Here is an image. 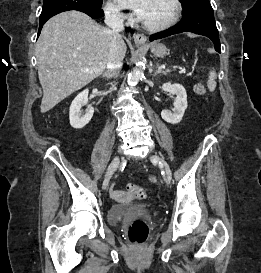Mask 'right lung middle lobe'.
Wrapping results in <instances>:
<instances>
[{
	"mask_svg": "<svg viewBox=\"0 0 261 273\" xmlns=\"http://www.w3.org/2000/svg\"><path fill=\"white\" fill-rule=\"evenodd\" d=\"M85 1H87L88 3H93V4L101 6L103 0H85ZM43 2H44L43 3V10L48 11V10L54 9V7L51 5V3H47V2H50V0L49 1L44 0Z\"/></svg>",
	"mask_w": 261,
	"mask_h": 273,
	"instance_id": "dd1d6c3e",
	"label": "right lung middle lobe"
}]
</instances>
